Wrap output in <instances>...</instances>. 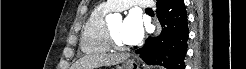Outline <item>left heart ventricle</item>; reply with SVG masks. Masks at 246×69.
Masks as SVG:
<instances>
[{"instance_id": "b2bd125f", "label": "left heart ventricle", "mask_w": 246, "mask_h": 69, "mask_svg": "<svg viewBox=\"0 0 246 69\" xmlns=\"http://www.w3.org/2000/svg\"><path fill=\"white\" fill-rule=\"evenodd\" d=\"M110 29L114 35V37L123 45H127L124 35H123V23L122 21L115 22L110 25Z\"/></svg>"}]
</instances>
